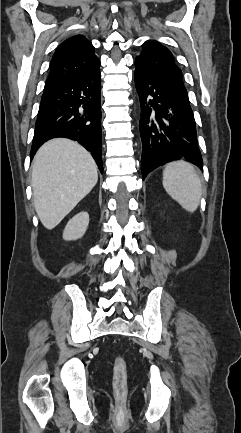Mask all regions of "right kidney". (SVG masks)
<instances>
[{
  "label": "right kidney",
  "mask_w": 241,
  "mask_h": 433,
  "mask_svg": "<svg viewBox=\"0 0 241 433\" xmlns=\"http://www.w3.org/2000/svg\"><path fill=\"white\" fill-rule=\"evenodd\" d=\"M88 224H89V214L87 212L82 211L76 214L67 223L63 231V239L70 241V240H77L79 238H82L86 232Z\"/></svg>",
  "instance_id": "obj_1"
}]
</instances>
